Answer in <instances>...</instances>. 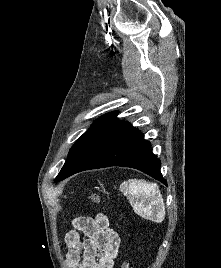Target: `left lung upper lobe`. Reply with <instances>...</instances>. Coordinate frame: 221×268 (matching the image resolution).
<instances>
[{
    "label": "left lung upper lobe",
    "mask_w": 221,
    "mask_h": 268,
    "mask_svg": "<svg viewBox=\"0 0 221 268\" xmlns=\"http://www.w3.org/2000/svg\"><path fill=\"white\" fill-rule=\"evenodd\" d=\"M117 112H112L104 115L96 120L93 125L76 141L69 152V157L62 167L57 178L76 160L81 152L111 123L117 120ZM55 179V182L57 180Z\"/></svg>",
    "instance_id": "obj_1"
}]
</instances>
